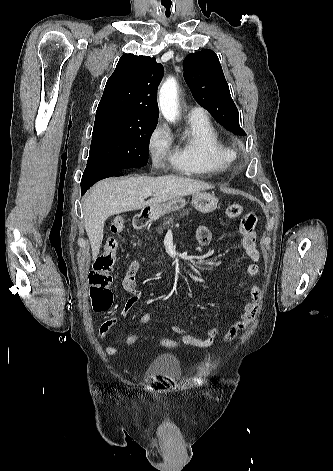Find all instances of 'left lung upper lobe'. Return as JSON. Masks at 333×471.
<instances>
[{"label":"left lung upper lobe","instance_id":"obj_1","mask_svg":"<svg viewBox=\"0 0 333 471\" xmlns=\"http://www.w3.org/2000/svg\"><path fill=\"white\" fill-rule=\"evenodd\" d=\"M184 78L196 102L227 130L246 135L240 128L238 109L215 52L203 50L189 54L183 63Z\"/></svg>","mask_w":333,"mask_h":471}]
</instances>
